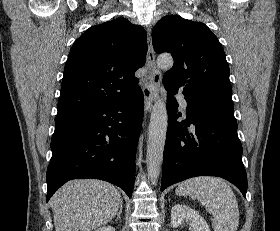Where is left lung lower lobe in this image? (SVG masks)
I'll return each mask as SVG.
<instances>
[{"mask_svg":"<svg viewBox=\"0 0 280 231\" xmlns=\"http://www.w3.org/2000/svg\"><path fill=\"white\" fill-rule=\"evenodd\" d=\"M169 92V91H168ZM169 92L168 131L162 183L168 186L196 176H218L236 185L246 198L247 176L234 110L187 100L186 119L177 122L178 103ZM195 125V131L187 127Z\"/></svg>","mask_w":280,"mask_h":231,"instance_id":"0a47b994","label":"left lung lower lobe"}]
</instances>
